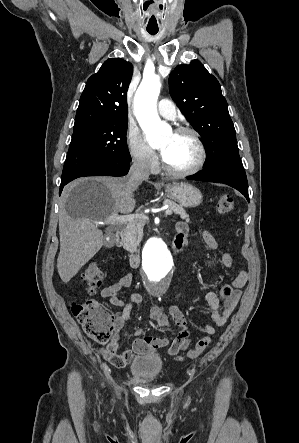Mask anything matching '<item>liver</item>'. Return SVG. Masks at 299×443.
Segmentation results:
<instances>
[{"mask_svg": "<svg viewBox=\"0 0 299 443\" xmlns=\"http://www.w3.org/2000/svg\"><path fill=\"white\" fill-rule=\"evenodd\" d=\"M127 181L128 177L83 178L63 190L57 269L64 283L69 282L103 246V233L94 222L134 210L136 201L127 190Z\"/></svg>", "mask_w": 299, "mask_h": 443, "instance_id": "6515ba94", "label": "liver"}]
</instances>
